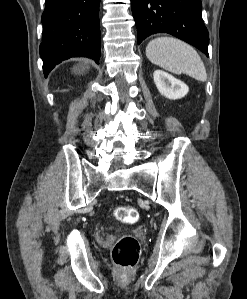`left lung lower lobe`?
I'll list each match as a JSON object with an SVG mask.
<instances>
[{
    "instance_id": "0a47b994",
    "label": "left lung lower lobe",
    "mask_w": 247,
    "mask_h": 299,
    "mask_svg": "<svg viewBox=\"0 0 247 299\" xmlns=\"http://www.w3.org/2000/svg\"><path fill=\"white\" fill-rule=\"evenodd\" d=\"M138 44L155 33H168L208 56L209 35L201 16V0H131Z\"/></svg>"
}]
</instances>
